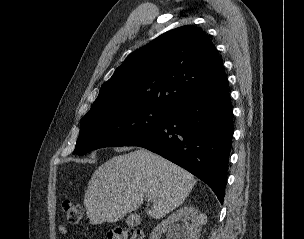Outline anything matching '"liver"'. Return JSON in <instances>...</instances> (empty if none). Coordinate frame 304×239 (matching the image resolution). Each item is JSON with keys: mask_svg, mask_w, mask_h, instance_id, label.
I'll return each mask as SVG.
<instances>
[{"mask_svg": "<svg viewBox=\"0 0 304 239\" xmlns=\"http://www.w3.org/2000/svg\"><path fill=\"white\" fill-rule=\"evenodd\" d=\"M196 180L192 174L145 149L114 156L92 175L84 196L91 224L117 222L137 210L143 199L153 202L147 215L164 217L182 204Z\"/></svg>", "mask_w": 304, "mask_h": 239, "instance_id": "1", "label": "liver"}]
</instances>
